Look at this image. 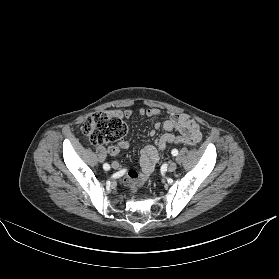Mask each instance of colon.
Here are the masks:
<instances>
[{
    "mask_svg": "<svg viewBox=\"0 0 279 279\" xmlns=\"http://www.w3.org/2000/svg\"><path fill=\"white\" fill-rule=\"evenodd\" d=\"M82 131L93 145H100L121 139L126 134L127 128L125 123L114 113L97 111L86 117ZM174 143L189 146L197 144L184 137H177Z\"/></svg>",
    "mask_w": 279,
    "mask_h": 279,
    "instance_id": "5ec220e1",
    "label": "colon"
}]
</instances>
